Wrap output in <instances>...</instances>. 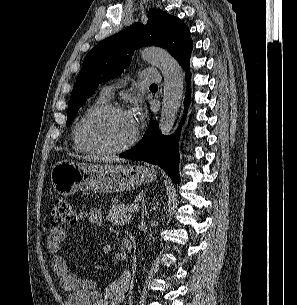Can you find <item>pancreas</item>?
I'll use <instances>...</instances> for the list:
<instances>
[{
	"mask_svg": "<svg viewBox=\"0 0 297 305\" xmlns=\"http://www.w3.org/2000/svg\"><path fill=\"white\" fill-rule=\"evenodd\" d=\"M107 218L113 224L124 225L131 221L132 211L130 206H125L118 203L117 199H113L111 210L107 213Z\"/></svg>",
	"mask_w": 297,
	"mask_h": 305,
	"instance_id": "1",
	"label": "pancreas"
}]
</instances>
